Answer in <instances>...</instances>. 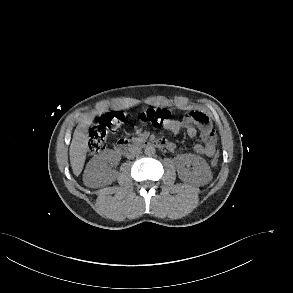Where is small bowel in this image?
<instances>
[{
  "label": "small bowel",
  "mask_w": 293,
  "mask_h": 293,
  "mask_svg": "<svg viewBox=\"0 0 293 293\" xmlns=\"http://www.w3.org/2000/svg\"><path fill=\"white\" fill-rule=\"evenodd\" d=\"M193 113H197L204 117L201 123H196L194 121H190L186 119V121H180L177 119L170 120L164 125V129L170 131L171 133L177 135L182 130H185L187 135L190 138H194L197 134H200V137L203 141V144H195L193 150L195 153L200 155H205L207 157H212L216 151V142L217 137L215 132L213 131L209 118L206 114L200 111H193ZM194 124L198 125V128L194 126ZM176 146L172 142L167 143V150L173 152Z\"/></svg>",
  "instance_id": "1"
}]
</instances>
